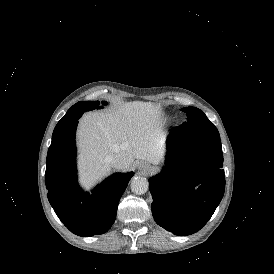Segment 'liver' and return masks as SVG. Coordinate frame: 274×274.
<instances>
[{"label": "liver", "instance_id": "1", "mask_svg": "<svg viewBox=\"0 0 274 274\" xmlns=\"http://www.w3.org/2000/svg\"><path fill=\"white\" fill-rule=\"evenodd\" d=\"M159 115L157 107L145 102L84 115L78 131L84 181L89 183L111 169L105 161L108 155L118 157L121 165L117 168L134 165V159L156 164L161 149L155 144L162 138L156 122Z\"/></svg>", "mask_w": 274, "mask_h": 274}]
</instances>
